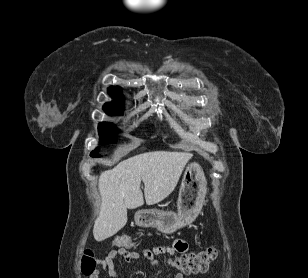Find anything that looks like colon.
I'll list each match as a JSON object with an SVG mask.
<instances>
[{"label": "colon", "mask_w": 308, "mask_h": 278, "mask_svg": "<svg viewBox=\"0 0 308 278\" xmlns=\"http://www.w3.org/2000/svg\"><path fill=\"white\" fill-rule=\"evenodd\" d=\"M115 245L124 249L134 246L133 240L128 235H121L115 239ZM217 255L215 248L183 253L172 260L173 266L182 274H197L205 272L210 264L215 260ZM100 260L91 250H85L81 270L82 273L90 278L98 272Z\"/></svg>", "instance_id": "5ec220e1"}]
</instances>
